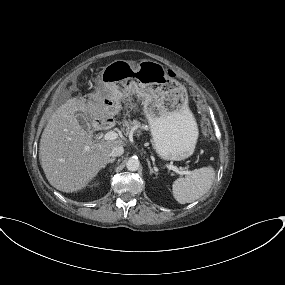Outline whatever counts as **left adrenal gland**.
<instances>
[{"label": "left adrenal gland", "mask_w": 285, "mask_h": 285, "mask_svg": "<svg viewBox=\"0 0 285 285\" xmlns=\"http://www.w3.org/2000/svg\"><path fill=\"white\" fill-rule=\"evenodd\" d=\"M146 161H147V164H148V168H149L150 174L151 175L155 174L157 176L158 173L152 169L151 163H150L149 159H146Z\"/></svg>", "instance_id": "obj_1"}]
</instances>
